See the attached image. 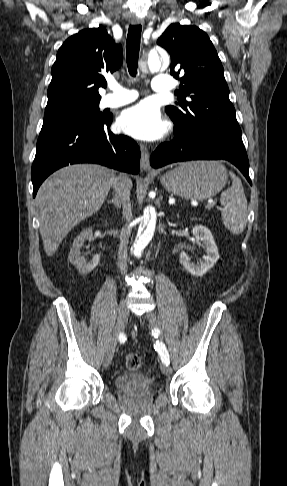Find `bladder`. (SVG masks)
Instances as JSON below:
<instances>
[{"label":"bladder","mask_w":287,"mask_h":486,"mask_svg":"<svg viewBox=\"0 0 287 486\" xmlns=\"http://www.w3.org/2000/svg\"><path fill=\"white\" fill-rule=\"evenodd\" d=\"M115 386L121 391L149 392L154 387V381L142 373H124L115 379Z\"/></svg>","instance_id":"obj_1"}]
</instances>
